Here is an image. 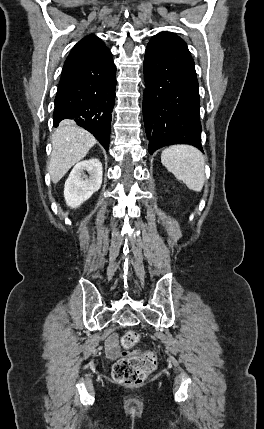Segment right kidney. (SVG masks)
Instances as JSON below:
<instances>
[{
  "label": "right kidney",
  "instance_id": "ca27d5eb",
  "mask_svg": "<svg viewBox=\"0 0 264 429\" xmlns=\"http://www.w3.org/2000/svg\"><path fill=\"white\" fill-rule=\"evenodd\" d=\"M102 173V164L97 158L78 162L65 182L64 198L67 206L78 208L98 191L102 184Z\"/></svg>",
  "mask_w": 264,
  "mask_h": 429
}]
</instances>
